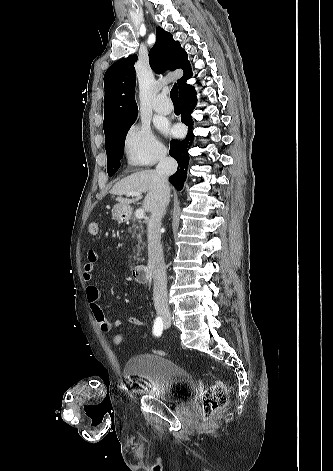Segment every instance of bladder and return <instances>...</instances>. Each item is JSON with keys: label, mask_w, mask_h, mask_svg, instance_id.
<instances>
[{"label": "bladder", "mask_w": 333, "mask_h": 471, "mask_svg": "<svg viewBox=\"0 0 333 471\" xmlns=\"http://www.w3.org/2000/svg\"><path fill=\"white\" fill-rule=\"evenodd\" d=\"M124 373L145 380L148 393L166 404H180L196 389L192 375L162 355L144 353L131 356L125 363Z\"/></svg>", "instance_id": "bladder-1"}]
</instances>
